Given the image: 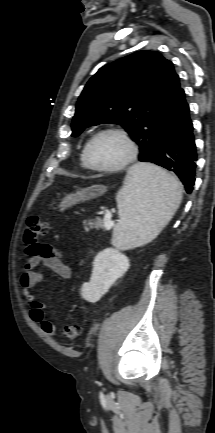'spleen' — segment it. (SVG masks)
Here are the masks:
<instances>
[{"instance_id": "obj_1", "label": "spleen", "mask_w": 215, "mask_h": 433, "mask_svg": "<svg viewBox=\"0 0 215 433\" xmlns=\"http://www.w3.org/2000/svg\"><path fill=\"white\" fill-rule=\"evenodd\" d=\"M182 200L181 184L164 169L137 163L116 195L119 221L112 244L119 249L145 245L169 223Z\"/></svg>"}]
</instances>
